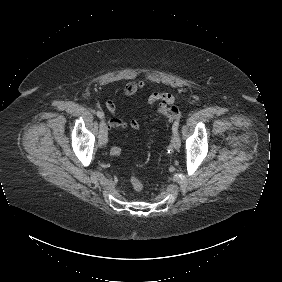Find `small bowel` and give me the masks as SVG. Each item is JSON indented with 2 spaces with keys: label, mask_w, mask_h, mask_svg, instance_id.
Instances as JSON below:
<instances>
[{
  "label": "small bowel",
  "mask_w": 282,
  "mask_h": 282,
  "mask_svg": "<svg viewBox=\"0 0 282 282\" xmlns=\"http://www.w3.org/2000/svg\"><path fill=\"white\" fill-rule=\"evenodd\" d=\"M146 85V81L144 79H140L138 81H129L124 86V94L128 98L134 97L144 86ZM177 96L170 93L165 92H153L147 99V108L158 107L163 104H168L173 106L176 101ZM107 110L112 114V118L108 122V128H120L126 129L128 126L134 130L140 129V123L133 117L126 121L123 117L118 114L117 107L115 103L111 100H108L106 103Z\"/></svg>",
  "instance_id": "1"
}]
</instances>
